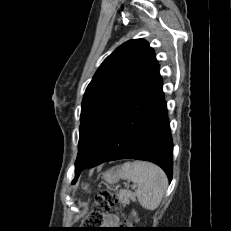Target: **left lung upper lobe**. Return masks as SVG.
I'll list each match as a JSON object with an SVG mask.
<instances>
[{
  "label": "left lung upper lobe",
  "mask_w": 231,
  "mask_h": 231,
  "mask_svg": "<svg viewBox=\"0 0 231 231\" xmlns=\"http://www.w3.org/2000/svg\"><path fill=\"white\" fill-rule=\"evenodd\" d=\"M157 63L154 50L143 39L122 44L104 60L82 101L75 169L85 164L108 124Z\"/></svg>",
  "instance_id": "5c2ea615"
}]
</instances>
